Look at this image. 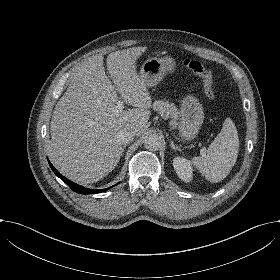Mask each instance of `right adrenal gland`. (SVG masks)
I'll use <instances>...</instances> for the list:
<instances>
[{
	"instance_id": "right-adrenal-gland-1",
	"label": "right adrenal gland",
	"mask_w": 280,
	"mask_h": 280,
	"mask_svg": "<svg viewBox=\"0 0 280 280\" xmlns=\"http://www.w3.org/2000/svg\"><path fill=\"white\" fill-rule=\"evenodd\" d=\"M123 152H124V147H122V150H121V157L123 155Z\"/></svg>"
}]
</instances>
